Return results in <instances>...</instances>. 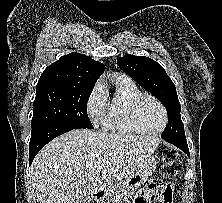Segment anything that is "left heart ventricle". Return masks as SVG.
I'll list each match as a JSON object with an SVG mask.
<instances>
[{
  "label": "left heart ventricle",
  "mask_w": 222,
  "mask_h": 203,
  "mask_svg": "<svg viewBox=\"0 0 222 203\" xmlns=\"http://www.w3.org/2000/svg\"><path fill=\"white\" fill-rule=\"evenodd\" d=\"M142 124L149 130H158L162 127L164 117L160 107L152 100H145L139 109Z\"/></svg>",
  "instance_id": "b2bd125f"
}]
</instances>
